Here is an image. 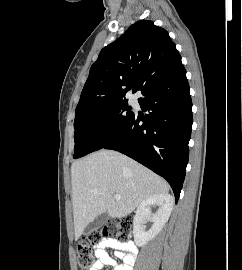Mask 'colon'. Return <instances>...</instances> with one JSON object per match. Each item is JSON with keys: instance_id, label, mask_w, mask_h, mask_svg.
<instances>
[{"instance_id": "colon-1", "label": "colon", "mask_w": 242, "mask_h": 270, "mask_svg": "<svg viewBox=\"0 0 242 270\" xmlns=\"http://www.w3.org/2000/svg\"><path fill=\"white\" fill-rule=\"evenodd\" d=\"M132 223L129 220L109 221L101 230L91 232L80 239L76 247L79 270H92L94 265L93 247L104 239H125L129 237Z\"/></svg>"}]
</instances>
